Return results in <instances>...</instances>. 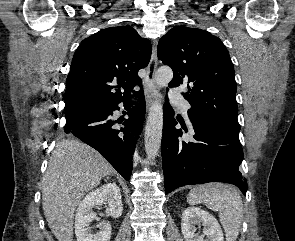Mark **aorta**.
<instances>
[{"label": "aorta", "mask_w": 295, "mask_h": 241, "mask_svg": "<svg viewBox=\"0 0 295 241\" xmlns=\"http://www.w3.org/2000/svg\"><path fill=\"white\" fill-rule=\"evenodd\" d=\"M173 78L170 67L162 66L155 73L156 95L155 102L151 105L145 127V151L148 159H154L159 152L163 129V106L159 90L168 85Z\"/></svg>", "instance_id": "obj_1"}]
</instances>
